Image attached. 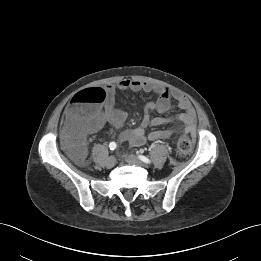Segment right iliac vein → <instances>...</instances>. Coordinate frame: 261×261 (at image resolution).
I'll use <instances>...</instances> for the list:
<instances>
[{"label":"right iliac vein","mask_w":261,"mask_h":261,"mask_svg":"<svg viewBox=\"0 0 261 261\" xmlns=\"http://www.w3.org/2000/svg\"><path fill=\"white\" fill-rule=\"evenodd\" d=\"M116 163V159L113 156H110L107 160H106V167L107 168H112Z\"/></svg>","instance_id":"63e3f726"}]
</instances>
